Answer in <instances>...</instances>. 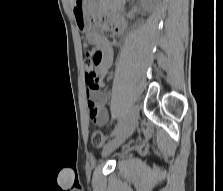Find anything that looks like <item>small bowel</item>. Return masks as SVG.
Listing matches in <instances>:
<instances>
[{"label": "small bowel", "mask_w": 223, "mask_h": 191, "mask_svg": "<svg viewBox=\"0 0 223 191\" xmlns=\"http://www.w3.org/2000/svg\"><path fill=\"white\" fill-rule=\"evenodd\" d=\"M125 23L118 20L114 23L113 30L115 34L120 35L124 31ZM89 40L99 49L100 61L98 73L100 76L99 85L96 87L89 86L87 90V108L88 116L96 125L102 126L107 124L109 114L106 109L107 95L102 92L106 87L105 76L109 72L113 63V49L110 42L105 36L98 32L89 34Z\"/></svg>", "instance_id": "small-bowel-1"}]
</instances>
